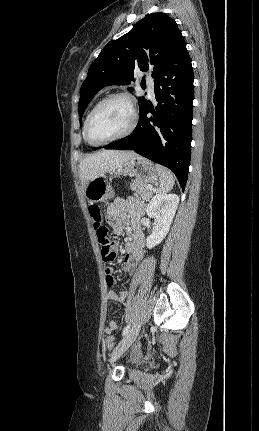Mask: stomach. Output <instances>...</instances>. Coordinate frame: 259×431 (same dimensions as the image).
<instances>
[{"label":"stomach","instance_id":"0dacf381","mask_svg":"<svg viewBox=\"0 0 259 431\" xmlns=\"http://www.w3.org/2000/svg\"><path fill=\"white\" fill-rule=\"evenodd\" d=\"M116 175L135 176L146 184H153L159 180V174L154 164L139 155L134 156L115 170ZM84 195L89 202H99L114 197V191L110 183L104 177H96L88 182L84 189Z\"/></svg>","mask_w":259,"mask_h":431}]
</instances>
